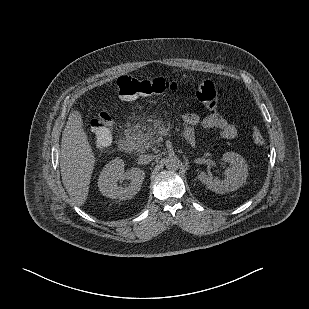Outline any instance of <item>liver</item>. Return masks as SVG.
<instances>
[{
	"label": "liver",
	"mask_w": 309,
	"mask_h": 309,
	"mask_svg": "<svg viewBox=\"0 0 309 309\" xmlns=\"http://www.w3.org/2000/svg\"><path fill=\"white\" fill-rule=\"evenodd\" d=\"M60 168L63 185L70 198L81 206L89 192L95 157L78 111H72L62 132Z\"/></svg>",
	"instance_id": "6515ba94"
}]
</instances>
